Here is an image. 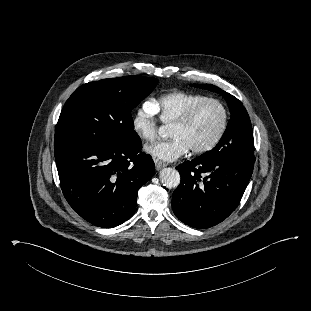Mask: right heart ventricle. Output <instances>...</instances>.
<instances>
[{"label": "right heart ventricle", "instance_id": "e07e8e85", "mask_svg": "<svg viewBox=\"0 0 311 311\" xmlns=\"http://www.w3.org/2000/svg\"><path fill=\"white\" fill-rule=\"evenodd\" d=\"M206 96L187 92H173L154 100L155 110L164 124H173Z\"/></svg>", "mask_w": 311, "mask_h": 311}]
</instances>
